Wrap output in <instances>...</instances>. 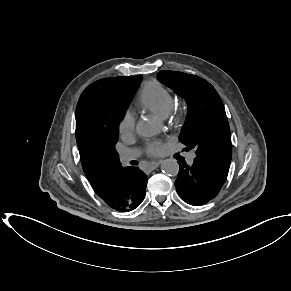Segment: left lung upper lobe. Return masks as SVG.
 Instances as JSON below:
<instances>
[{
  "label": "left lung upper lobe",
  "mask_w": 291,
  "mask_h": 291,
  "mask_svg": "<svg viewBox=\"0 0 291 291\" xmlns=\"http://www.w3.org/2000/svg\"><path fill=\"white\" fill-rule=\"evenodd\" d=\"M158 80L183 97L188 114L179 140L196 151L197 160L227 174L232 149L225 108L215 88L206 80L175 71H160Z\"/></svg>",
  "instance_id": "5c2ea615"
}]
</instances>
